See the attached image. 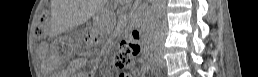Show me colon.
Here are the masks:
<instances>
[{
    "label": "colon",
    "instance_id": "obj_1",
    "mask_svg": "<svg viewBox=\"0 0 258 77\" xmlns=\"http://www.w3.org/2000/svg\"><path fill=\"white\" fill-rule=\"evenodd\" d=\"M49 28V18L47 13L43 12L39 16L36 26V35L43 37L47 34ZM137 41L133 36L121 42L119 50L115 55V64L118 68H129L132 65V54L137 45Z\"/></svg>",
    "mask_w": 258,
    "mask_h": 77
}]
</instances>
